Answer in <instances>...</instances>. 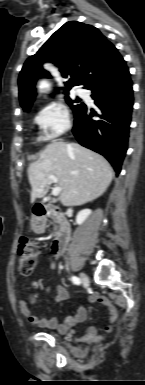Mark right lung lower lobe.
Here are the masks:
<instances>
[{"mask_svg":"<svg viewBox=\"0 0 145 385\" xmlns=\"http://www.w3.org/2000/svg\"><path fill=\"white\" fill-rule=\"evenodd\" d=\"M89 90L100 112L83 104L75 113L73 133L82 146L105 156L118 174L127 151L134 100L128 67Z\"/></svg>","mask_w":145,"mask_h":385,"instance_id":"98d812e1","label":"right lung lower lobe"}]
</instances>
